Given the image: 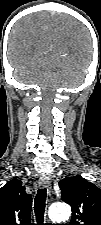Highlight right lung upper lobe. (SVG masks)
<instances>
[{"mask_svg": "<svg viewBox=\"0 0 101 225\" xmlns=\"http://www.w3.org/2000/svg\"><path fill=\"white\" fill-rule=\"evenodd\" d=\"M32 197L22 182L13 179L0 189V225H31Z\"/></svg>", "mask_w": 101, "mask_h": 225, "instance_id": "right-lung-upper-lobe-1", "label": "right lung upper lobe"}]
</instances>
